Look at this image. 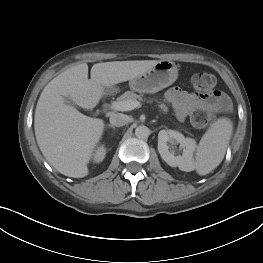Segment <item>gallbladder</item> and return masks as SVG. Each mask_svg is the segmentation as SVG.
I'll return each instance as SVG.
<instances>
[{
	"instance_id": "bac80fb5",
	"label": "gallbladder",
	"mask_w": 263,
	"mask_h": 263,
	"mask_svg": "<svg viewBox=\"0 0 263 263\" xmlns=\"http://www.w3.org/2000/svg\"><path fill=\"white\" fill-rule=\"evenodd\" d=\"M64 103L76 107V103L70 97H64Z\"/></svg>"
}]
</instances>
